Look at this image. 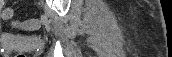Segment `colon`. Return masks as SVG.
Listing matches in <instances>:
<instances>
[{
    "label": "colon",
    "mask_w": 172,
    "mask_h": 57,
    "mask_svg": "<svg viewBox=\"0 0 172 57\" xmlns=\"http://www.w3.org/2000/svg\"><path fill=\"white\" fill-rule=\"evenodd\" d=\"M4 19H12L14 16V10L12 8H5L1 13ZM13 26L19 28L23 32L36 30L40 27L38 20H29L25 22L14 21ZM16 57H25L24 53L19 52Z\"/></svg>",
    "instance_id": "1"
}]
</instances>
